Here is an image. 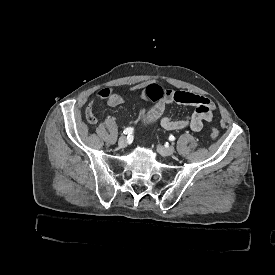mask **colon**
Instances as JSON below:
<instances>
[{
    "instance_id": "obj_1",
    "label": "colon",
    "mask_w": 275,
    "mask_h": 275,
    "mask_svg": "<svg viewBox=\"0 0 275 275\" xmlns=\"http://www.w3.org/2000/svg\"><path fill=\"white\" fill-rule=\"evenodd\" d=\"M148 92L150 94H148V97H149V103H148V106H151V103H152V96H159V97H162V86L160 84H155V85H152L150 86V88L148 89ZM86 114H87V117H88V120L91 122V123H95L96 122V117L93 115V109L92 108H88L86 110ZM143 115H144V112H141V115H140V118H143ZM211 138L213 140L217 139L218 138V135H219V131L217 128L213 127L211 129Z\"/></svg>"
}]
</instances>
